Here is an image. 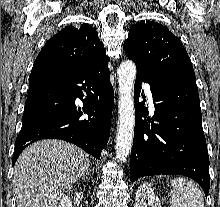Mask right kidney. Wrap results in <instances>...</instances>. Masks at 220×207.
<instances>
[{
	"mask_svg": "<svg viewBox=\"0 0 220 207\" xmlns=\"http://www.w3.org/2000/svg\"><path fill=\"white\" fill-rule=\"evenodd\" d=\"M85 189V186H84ZM58 207H72V201L68 195L64 196L60 201Z\"/></svg>",
	"mask_w": 220,
	"mask_h": 207,
	"instance_id": "1",
	"label": "right kidney"
}]
</instances>
